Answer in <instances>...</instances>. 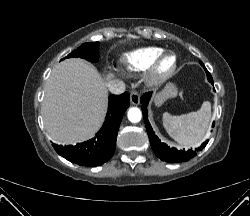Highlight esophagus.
<instances>
[{
  "label": "esophagus",
  "mask_w": 250,
  "mask_h": 216,
  "mask_svg": "<svg viewBox=\"0 0 250 216\" xmlns=\"http://www.w3.org/2000/svg\"><path fill=\"white\" fill-rule=\"evenodd\" d=\"M130 101L133 105H138L140 103V95L137 91L131 92Z\"/></svg>",
  "instance_id": "34e87169"
}]
</instances>
